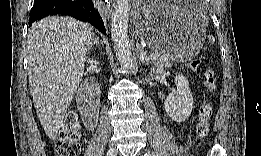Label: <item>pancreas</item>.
I'll use <instances>...</instances> for the list:
<instances>
[{
    "mask_svg": "<svg viewBox=\"0 0 261 156\" xmlns=\"http://www.w3.org/2000/svg\"><path fill=\"white\" fill-rule=\"evenodd\" d=\"M156 54H158V57L153 61L157 67H171L173 65L175 59L169 53H165L163 51H156Z\"/></svg>",
    "mask_w": 261,
    "mask_h": 156,
    "instance_id": "cf45deb5",
    "label": "pancreas"
}]
</instances>
